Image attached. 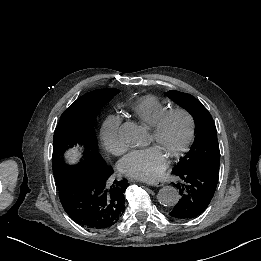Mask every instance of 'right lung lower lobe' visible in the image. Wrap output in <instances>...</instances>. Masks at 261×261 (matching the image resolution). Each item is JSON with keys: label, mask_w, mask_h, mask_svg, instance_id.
Segmentation results:
<instances>
[{"label": "right lung lower lobe", "mask_w": 261, "mask_h": 261, "mask_svg": "<svg viewBox=\"0 0 261 261\" xmlns=\"http://www.w3.org/2000/svg\"><path fill=\"white\" fill-rule=\"evenodd\" d=\"M112 174L104 161L73 168L57 183L62 206L74 222L91 229L118 222L125 210L124 192L129 184L127 180L113 181Z\"/></svg>", "instance_id": "right-lung-lower-lobe-1"}]
</instances>
